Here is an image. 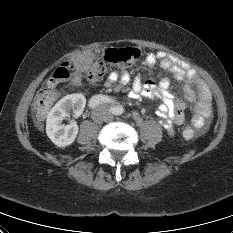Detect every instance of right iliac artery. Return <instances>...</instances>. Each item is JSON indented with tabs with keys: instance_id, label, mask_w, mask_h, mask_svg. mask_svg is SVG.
Returning a JSON list of instances; mask_svg holds the SVG:
<instances>
[{
	"instance_id": "right-iliac-artery-1",
	"label": "right iliac artery",
	"mask_w": 233,
	"mask_h": 233,
	"mask_svg": "<svg viewBox=\"0 0 233 233\" xmlns=\"http://www.w3.org/2000/svg\"><path fill=\"white\" fill-rule=\"evenodd\" d=\"M113 100L106 95H95L93 96L88 103L89 108L93 109L103 103H111Z\"/></svg>"
}]
</instances>
